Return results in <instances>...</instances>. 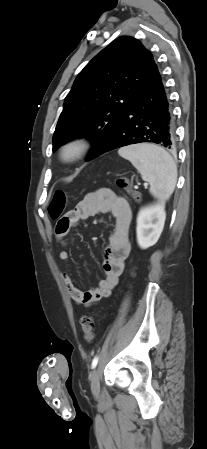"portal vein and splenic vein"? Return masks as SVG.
Returning <instances> with one entry per match:
<instances>
[{
  "label": "portal vein and splenic vein",
  "instance_id": "1",
  "mask_svg": "<svg viewBox=\"0 0 207 449\" xmlns=\"http://www.w3.org/2000/svg\"><path fill=\"white\" fill-rule=\"evenodd\" d=\"M144 186H145V187H147V186H148V184H147V183H144Z\"/></svg>",
  "mask_w": 207,
  "mask_h": 449
}]
</instances>
